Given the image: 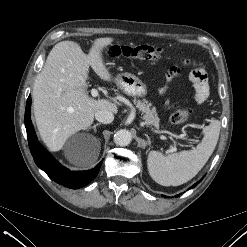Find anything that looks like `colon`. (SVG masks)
I'll list each match as a JSON object with an SVG mask.
<instances>
[{"mask_svg":"<svg viewBox=\"0 0 247 247\" xmlns=\"http://www.w3.org/2000/svg\"><path fill=\"white\" fill-rule=\"evenodd\" d=\"M108 55L112 58L159 59L165 55V50L151 45H115L108 50ZM170 119L174 124H185L190 119L189 108L182 106L176 109Z\"/></svg>","mask_w":247,"mask_h":247,"instance_id":"colon-1","label":"colon"}]
</instances>
